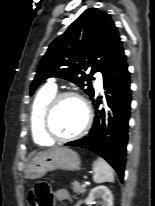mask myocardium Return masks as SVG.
I'll list each match as a JSON object with an SVG mask.
<instances>
[{"instance_id":"f54148a6","label":"myocardium","mask_w":155,"mask_h":206,"mask_svg":"<svg viewBox=\"0 0 155 206\" xmlns=\"http://www.w3.org/2000/svg\"><path fill=\"white\" fill-rule=\"evenodd\" d=\"M68 97L75 98L82 104L84 111H85V121H84L82 128L78 132L72 135L66 136V137H61V136L56 135L53 132L51 125H50V120H51V116H52V113L56 105L62 99L68 98ZM92 119H93V115H92L91 107L88 101L81 94L74 92V91L58 92L51 98V100L49 101V103L44 109V112L42 115L43 132L52 141H58V142L71 141V140L84 136L88 132L92 124Z\"/></svg>"}]
</instances>
